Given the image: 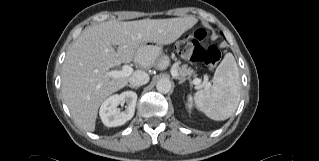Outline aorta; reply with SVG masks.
<instances>
[{"label": "aorta", "mask_w": 319, "mask_h": 161, "mask_svg": "<svg viewBox=\"0 0 319 161\" xmlns=\"http://www.w3.org/2000/svg\"><path fill=\"white\" fill-rule=\"evenodd\" d=\"M156 89L158 92L166 94L171 90V82L169 79H160L156 84Z\"/></svg>", "instance_id": "obj_1"}]
</instances>
